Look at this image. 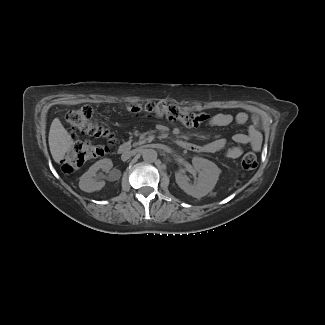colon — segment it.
<instances>
[{
    "label": "colon",
    "mask_w": 325,
    "mask_h": 325,
    "mask_svg": "<svg viewBox=\"0 0 325 325\" xmlns=\"http://www.w3.org/2000/svg\"><path fill=\"white\" fill-rule=\"evenodd\" d=\"M133 115H152L165 117L172 121H178L188 127H197L207 121L208 116L183 110L180 107L166 102H148L146 104L131 103L126 107ZM66 120L71 129L81 134L95 138H105L108 145L95 144L91 141L76 143L64 156L62 169L72 172L88 161L104 156L112 143L113 135L110 130L95 117V110L91 106L71 110L66 115ZM257 166V158L253 153H247L242 157L241 168L244 172L252 171Z\"/></svg>",
    "instance_id": "obj_1"
}]
</instances>
